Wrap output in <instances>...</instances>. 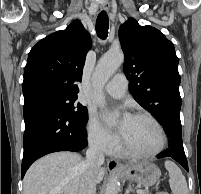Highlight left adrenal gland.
<instances>
[{"mask_svg":"<svg viewBox=\"0 0 201 194\" xmlns=\"http://www.w3.org/2000/svg\"><path fill=\"white\" fill-rule=\"evenodd\" d=\"M132 191H133V189L129 186L128 189L126 190L125 194H129Z\"/></svg>","mask_w":201,"mask_h":194,"instance_id":"left-adrenal-gland-1","label":"left adrenal gland"}]
</instances>
